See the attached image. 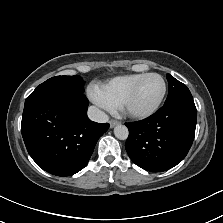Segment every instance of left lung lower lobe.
<instances>
[{
	"instance_id": "obj_1",
	"label": "left lung lower lobe",
	"mask_w": 223,
	"mask_h": 223,
	"mask_svg": "<svg viewBox=\"0 0 223 223\" xmlns=\"http://www.w3.org/2000/svg\"><path fill=\"white\" fill-rule=\"evenodd\" d=\"M196 121L194 103L164 105L144 120L125 123L129 129L126 151L137 166L151 172L166 171L186 157Z\"/></svg>"
}]
</instances>
